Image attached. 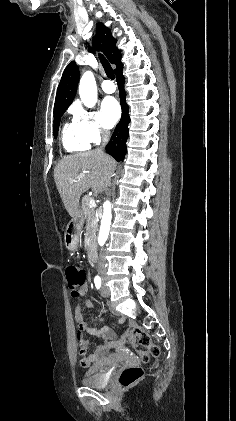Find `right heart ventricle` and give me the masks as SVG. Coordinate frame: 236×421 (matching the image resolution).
I'll use <instances>...</instances> for the list:
<instances>
[{"label": "right heart ventricle", "mask_w": 236, "mask_h": 421, "mask_svg": "<svg viewBox=\"0 0 236 421\" xmlns=\"http://www.w3.org/2000/svg\"><path fill=\"white\" fill-rule=\"evenodd\" d=\"M62 144L66 152L81 153L90 149V141L73 122H67L62 129Z\"/></svg>", "instance_id": "right-heart-ventricle-1"}]
</instances>
